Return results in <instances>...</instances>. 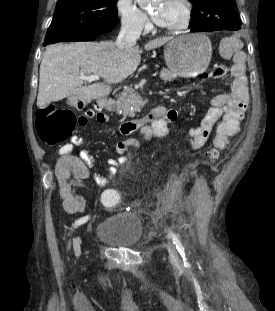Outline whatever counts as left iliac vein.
Masks as SVG:
<instances>
[{"instance_id": "1", "label": "left iliac vein", "mask_w": 275, "mask_h": 311, "mask_svg": "<svg viewBox=\"0 0 275 311\" xmlns=\"http://www.w3.org/2000/svg\"><path fill=\"white\" fill-rule=\"evenodd\" d=\"M166 247L169 253L170 262L176 267L182 268L183 263H182V260L178 256L175 246L170 241H168L166 244Z\"/></svg>"}]
</instances>
